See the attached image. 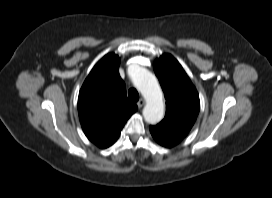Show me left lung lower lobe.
Instances as JSON below:
<instances>
[{
    "label": "left lung lower lobe",
    "instance_id": "1",
    "mask_svg": "<svg viewBox=\"0 0 272 198\" xmlns=\"http://www.w3.org/2000/svg\"><path fill=\"white\" fill-rule=\"evenodd\" d=\"M150 132L153 138L162 146L173 147L178 144L184 137L164 129L158 125L150 126Z\"/></svg>",
    "mask_w": 272,
    "mask_h": 198
}]
</instances>
